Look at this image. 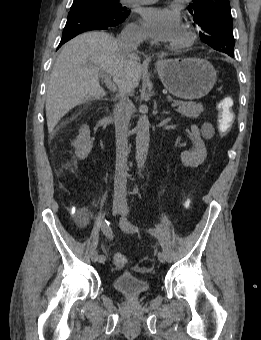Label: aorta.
Masks as SVG:
<instances>
[{"label": "aorta", "instance_id": "obj_1", "mask_svg": "<svg viewBox=\"0 0 261 340\" xmlns=\"http://www.w3.org/2000/svg\"><path fill=\"white\" fill-rule=\"evenodd\" d=\"M148 108L143 106L141 108V116L136 125V163L141 174V170L144 168L150 142L149 132V120H148Z\"/></svg>", "mask_w": 261, "mask_h": 340}]
</instances>
